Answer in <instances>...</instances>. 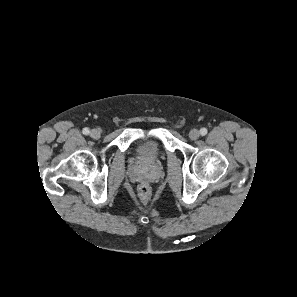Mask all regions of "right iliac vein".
<instances>
[{
  "instance_id": "obj_1",
  "label": "right iliac vein",
  "mask_w": 297,
  "mask_h": 297,
  "mask_svg": "<svg viewBox=\"0 0 297 297\" xmlns=\"http://www.w3.org/2000/svg\"><path fill=\"white\" fill-rule=\"evenodd\" d=\"M101 136V132L99 129H92L90 131V137L93 139H99Z\"/></svg>"
}]
</instances>
